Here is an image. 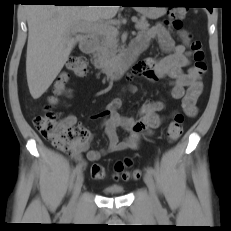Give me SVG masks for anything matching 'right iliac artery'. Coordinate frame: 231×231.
Returning a JSON list of instances; mask_svg holds the SVG:
<instances>
[{
  "label": "right iliac artery",
  "mask_w": 231,
  "mask_h": 231,
  "mask_svg": "<svg viewBox=\"0 0 231 231\" xmlns=\"http://www.w3.org/2000/svg\"><path fill=\"white\" fill-rule=\"evenodd\" d=\"M80 172H81V167L76 166L74 171H73V176L75 177L76 175L80 174Z\"/></svg>",
  "instance_id": "82829eb1"
}]
</instances>
